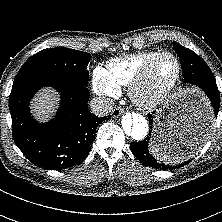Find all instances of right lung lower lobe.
I'll return each instance as SVG.
<instances>
[{
    "instance_id": "98d812e1",
    "label": "right lung lower lobe",
    "mask_w": 222,
    "mask_h": 222,
    "mask_svg": "<svg viewBox=\"0 0 222 222\" xmlns=\"http://www.w3.org/2000/svg\"><path fill=\"white\" fill-rule=\"evenodd\" d=\"M53 86L61 103L51 122L40 124L29 111V101L43 86ZM86 86L46 74L15 77L9 97L13 139L27 159L38 167L61 170L79 164L91 149L98 125L111 116L97 117L88 109Z\"/></svg>"
}]
</instances>
